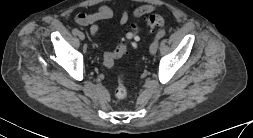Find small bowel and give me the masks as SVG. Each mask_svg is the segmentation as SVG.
Listing matches in <instances>:
<instances>
[{
  "instance_id": "1",
  "label": "small bowel",
  "mask_w": 253,
  "mask_h": 138,
  "mask_svg": "<svg viewBox=\"0 0 253 138\" xmlns=\"http://www.w3.org/2000/svg\"><path fill=\"white\" fill-rule=\"evenodd\" d=\"M156 8L153 5H141L130 11L128 8L124 7L121 11V17L119 19L118 25L123 26L125 25L131 18L137 19L143 17L147 14L154 12ZM113 10L106 5L100 6L95 12L93 13H84L81 12L76 15L75 23L80 26H90V34L92 36H96L99 32V21L108 20L112 18Z\"/></svg>"
}]
</instances>
